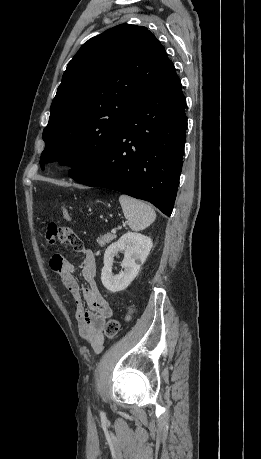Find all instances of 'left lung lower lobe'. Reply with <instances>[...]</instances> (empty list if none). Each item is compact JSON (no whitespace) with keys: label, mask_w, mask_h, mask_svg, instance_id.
I'll return each instance as SVG.
<instances>
[{"label":"left lung lower lobe","mask_w":261,"mask_h":459,"mask_svg":"<svg viewBox=\"0 0 261 459\" xmlns=\"http://www.w3.org/2000/svg\"><path fill=\"white\" fill-rule=\"evenodd\" d=\"M185 106L173 67L134 110L97 167L71 178L149 201L170 216L182 168Z\"/></svg>","instance_id":"left-lung-lower-lobe-1"}]
</instances>
